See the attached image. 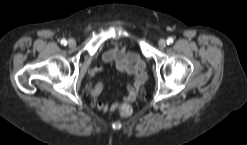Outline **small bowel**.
<instances>
[{
	"label": "small bowel",
	"mask_w": 247,
	"mask_h": 145,
	"mask_svg": "<svg viewBox=\"0 0 247 145\" xmlns=\"http://www.w3.org/2000/svg\"><path fill=\"white\" fill-rule=\"evenodd\" d=\"M106 65H114L119 71L133 77L134 82L127 86V94L123 99L126 103H133L137 99L140 86L146 77L145 63L142 61L140 55L136 52L126 53L123 48L115 46L103 54L102 63L97 64L91 70V75L101 72ZM103 89V81L98 80L91 88L90 94L93 98L98 100ZM120 105L121 102L116 100L111 103L97 101L96 108L100 112L115 111Z\"/></svg>",
	"instance_id": "1"
}]
</instances>
